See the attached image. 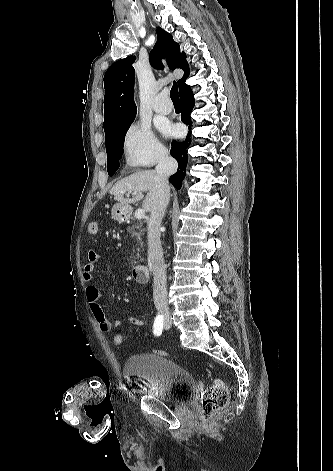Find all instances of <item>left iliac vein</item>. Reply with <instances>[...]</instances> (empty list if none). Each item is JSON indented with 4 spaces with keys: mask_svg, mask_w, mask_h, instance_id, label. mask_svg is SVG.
<instances>
[{
    "mask_svg": "<svg viewBox=\"0 0 333 471\" xmlns=\"http://www.w3.org/2000/svg\"><path fill=\"white\" fill-rule=\"evenodd\" d=\"M171 324H172L171 317L167 316L164 321V327L168 329L171 327Z\"/></svg>",
    "mask_w": 333,
    "mask_h": 471,
    "instance_id": "obj_1",
    "label": "left iliac vein"
}]
</instances>
